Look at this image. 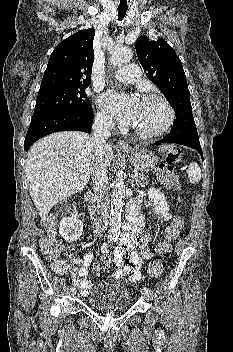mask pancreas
Instances as JSON below:
<instances>
[{
  "mask_svg": "<svg viewBox=\"0 0 233 352\" xmlns=\"http://www.w3.org/2000/svg\"><path fill=\"white\" fill-rule=\"evenodd\" d=\"M135 182L137 186L145 187L148 184L147 176L144 174L139 175V177L135 178Z\"/></svg>",
  "mask_w": 233,
  "mask_h": 352,
  "instance_id": "cf45deb5",
  "label": "pancreas"
}]
</instances>
